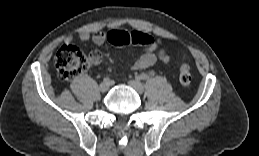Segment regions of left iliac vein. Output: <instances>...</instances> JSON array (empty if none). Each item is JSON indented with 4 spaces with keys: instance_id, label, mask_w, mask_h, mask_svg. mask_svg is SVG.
Segmentation results:
<instances>
[{
    "instance_id": "1",
    "label": "left iliac vein",
    "mask_w": 259,
    "mask_h": 156,
    "mask_svg": "<svg viewBox=\"0 0 259 156\" xmlns=\"http://www.w3.org/2000/svg\"><path fill=\"white\" fill-rule=\"evenodd\" d=\"M129 85L139 94L144 92V86L139 80H131L129 81Z\"/></svg>"
}]
</instances>
